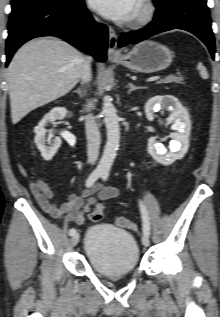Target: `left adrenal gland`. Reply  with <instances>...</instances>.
Returning a JSON list of instances; mask_svg holds the SVG:
<instances>
[{"label":"left adrenal gland","mask_w":220,"mask_h":317,"mask_svg":"<svg viewBox=\"0 0 220 317\" xmlns=\"http://www.w3.org/2000/svg\"><path fill=\"white\" fill-rule=\"evenodd\" d=\"M127 87H129L130 89L128 90V93H130L131 91L140 89L141 87H137L135 85H133L132 83H128Z\"/></svg>","instance_id":"1"}]
</instances>
